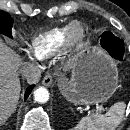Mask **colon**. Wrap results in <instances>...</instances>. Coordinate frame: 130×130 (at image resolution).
<instances>
[{
    "mask_svg": "<svg viewBox=\"0 0 130 130\" xmlns=\"http://www.w3.org/2000/svg\"><path fill=\"white\" fill-rule=\"evenodd\" d=\"M102 47L114 58L121 60L124 55V42L112 33L104 32L101 36Z\"/></svg>",
    "mask_w": 130,
    "mask_h": 130,
    "instance_id": "colon-1",
    "label": "colon"
}]
</instances>
